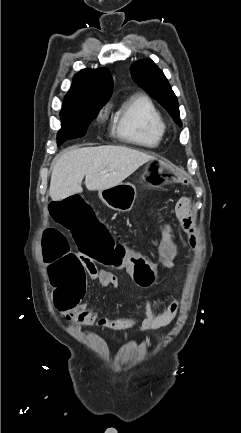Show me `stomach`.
I'll use <instances>...</instances> for the list:
<instances>
[{
	"instance_id": "1",
	"label": "stomach",
	"mask_w": 241,
	"mask_h": 433,
	"mask_svg": "<svg viewBox=\"0 0 241 433\" xmlns=\"http://www.w3.org/2000/svg\"><path fill=\"white\" fill-rule=\"evenodd\" d=\"M98 196L110 209L118 212H129L137 198V186L132 183H121L99 191Z\"/></svg>"
}]
</instances>
